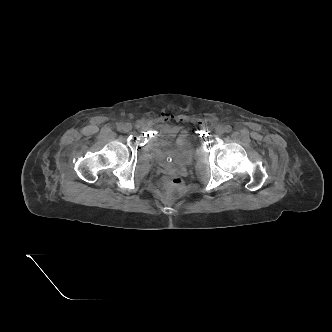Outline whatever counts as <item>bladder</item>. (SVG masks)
<instances>
[{
    "label": "bladder",
    "mask_w": 332,
    "mask_h": 332,
    "mask_svg": "<svg viewBox=\"0 0 332 332\" xmlns=\"http://www.w3.org/2000/svg\"><path fill=\"white\" fill-rule=\"evenodd\" d=\"M195 146L193 134L185 135L182 142L176 143L174 146L164 145L156 139H152L148 143L149 149L154 153L156 161L160 165L168 164V158L179 165L187 164L194 153Z\"/></svg>",
    "instance_id": "1"
}]
</instances>
